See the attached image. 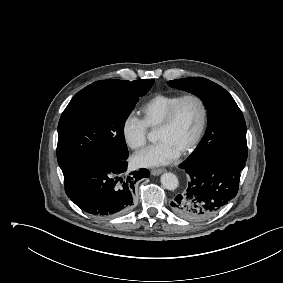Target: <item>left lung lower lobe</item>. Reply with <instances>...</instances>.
I'll list each match as a JSON object with an SVG mask.
<instances>
[{
    "instance_id": "obj_1",
    "label": "left lung lower lobe",
    "mask_w": 283,
    "mask_h": 283,
    "mask_svg": "<svg viewBox=\"0 0 283 283\" xmlns=\"http://www.w3.org/2000/svg\"><path fill=\"white\" fill-rule=\"evenodd\" d=\"M245 162L234 158H212L189 165L180 164L190 181L182 195L171 202L172 211L185 220L202 221L215 215L238 192Z\"/></svg>"
}]
</instances>
